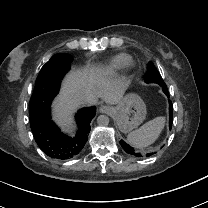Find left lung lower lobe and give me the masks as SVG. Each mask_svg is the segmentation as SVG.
I'll use <instances>...</instances> for the list:
<instances>
[{
    "label": "left lung lower lobe",
    "instance_id": "0a47b994",
    "mask_svg": "<svg viewBox=\"0 0 208 208\" xmlns=\"http://www.w3.org/2000/svg\"><path fill=\"white\" fill-rule=\"evenodd\" d=\"M167 96H169L168 94V90L166 92H164ZM169 127L171 129L172 127V120H173V105L172 102L169 100ZM120 144L122 146V148L130 155L136 156V157H142L143 155L140 152H136L134 150V148H132L130 145H128L127 143H125L123 140L120 141ZM153 153H147L145 154L146 157L151 156Z\"/></svg>",
    "mask_w": 208,
    "mask_h": 208
}]
</instances>
